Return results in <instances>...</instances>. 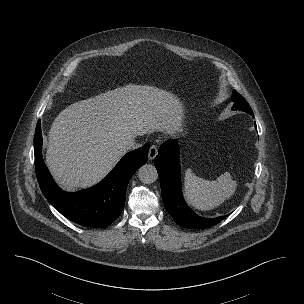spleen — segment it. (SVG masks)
Listing matches in <instances>:
<instances>
[{
  "label": "spleen",
  "instance_id": "3e777b00",
  "mask_svg": "<svg viewBox=\"0 0 304 304\" xmlns=\"http://www.w3.org/2000/svg\"><path fill=\"white\" fill-rule=\"evenodd\" d=\"M237 184L230 173L220 175L216 180L209 181L196 176L187 169L184 177V193L187 201L196 209L211 210L230 198Z\"/></svg>",
  "mask_w": 304,
  "mask_h": 304
}]
</instances>
